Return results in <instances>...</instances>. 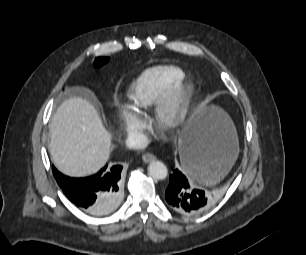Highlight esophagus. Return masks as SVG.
<instances>
[{
    "instance_id": "34e87169",
    "label": "esophagus",
    "mask_w": 306,
    "mask_h": 255,
    "mask_svg": "<svg viewBox=\"0 0 306 255\" xmlns=\"http://www.w3.org/2000/svg\"><path fill=\"white\" fill-rule=\"evenodd\" d=\"M142 160L145 162V163H149V162H152L154 160H156V156L154 154H151V153H145L143 156H142Z\"/></svg>"
}]
</instances>
